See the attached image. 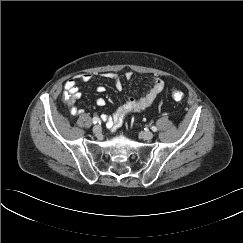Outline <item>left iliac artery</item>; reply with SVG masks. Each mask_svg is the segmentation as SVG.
<instances>
[{
	"mask_svg": "<svg viewBox=\"0 0 243 243\" xmlns=\"http://www.w3.org/2000/svg\"><path fill=\"white\" fill-rule=\"evenodd\" d=\"M152 131L156 132L157 131V128L155 126H152L151 127Z\"/></svg>",
	"mask_w": 243,
	"mask_h": 243,
	"instance_id": "left-iliac-artery-1",
	"label": "left iliac artery"
}]
</instances>
